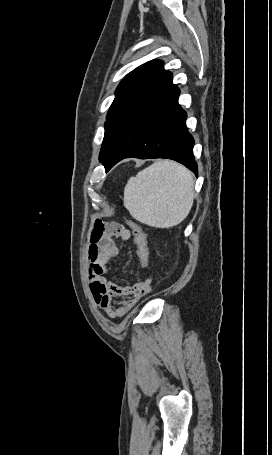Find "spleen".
<instances>
[{
  "label": "spleen",
  "mask_w": 272,
  "mask_h": 455,
  "mask_svg": "<svg viewBox=\"0 0 272 455\" xmlns=\"http://www.w3.org/2000/svg\"><path fill=\"white\" fill-rule=\"evenodd\" d=\"M194 201L191 172L179 163L158 160L130 177L124 188V206L136 220L157 228L181 223Z\"/></svg>",
  "instance_id": "obj_1"
}]
</instances>
